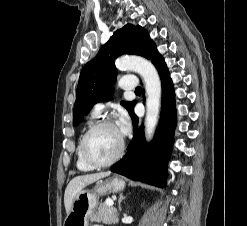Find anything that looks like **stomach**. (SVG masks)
I'll list each match as a JSON object with an SVG mask.
<instances>
[{
  "label": "stomach",
  "instance_id": "1",
  "mask_svg": "<svg viewBox=\"0 0 247 226\" xmlns=\"http://www.w3.org/2000/svg\"><path fill=\"white\" fill-rule=\"evenodd\" d=\"M125 181L117 176L96 182L93 189H82L72 202L63 226H88L94 214L98 196L121 192Z\"/></svg>",
  "mask_w": 247,
  "mask_h": 226
}]
</instances>
